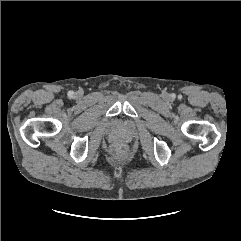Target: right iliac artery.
I'll use <instances>...</instances> for the list:
<instances>
[{"instance_id": "right-iliac-artery-1", "label": "right iliac artery", "mask_w": 241, "mask_h": 241, "mask_svg": "<svg viewBox=\"0 0 241 241\" xmlns=\"http://www.w3.org/2000/svg\"><path fill=\"white\" fill-rule=\"evenodd\" d=\"M73 94H74V93H73V92H71V91L68 93L69 97H72V96H73Z\"/></svg>"}]
</instances>
